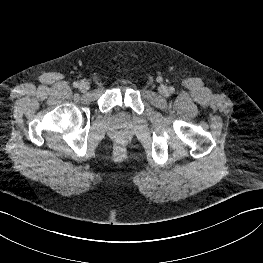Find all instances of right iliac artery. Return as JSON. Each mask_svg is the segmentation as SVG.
Masks as SVG:
<instances>
[{
	"label": "right iliac artery",
	"mask_w": 263,
	"mask_h": 263,
	"mask_svg": "<svg viewBox=\"0 0 263 263\" xmlns=\"http://www.w3.org/2000/svg\"><path fill=\"white\" fill-rule=\"evenodd\" d=\"M73 86H74L75 88H77V87H79V83H78V82H74V83H73Z\"/></svg>",
	"instance_id": "1"
}]
</instances>
